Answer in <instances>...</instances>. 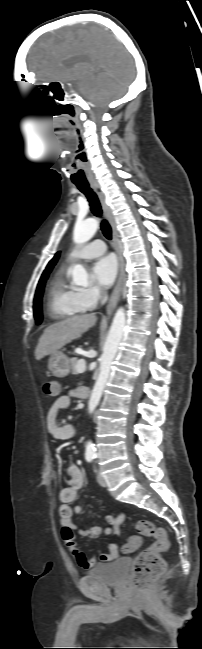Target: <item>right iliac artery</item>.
<instances>
[{
    "mask_svg": "<svg viewBox=\"0 0 202 649\" xmlns=\"http://www.w3.org/2000/svg\"><path fill=\"white\" fill-rule=\"evenodd\" d=\"M92 459H93V456H91V455H87V456H86V460H87L88 462H91Z\"/></svg>",
    "mask_w": 202,
    "mask_h": 649,
    "instance_id": "82829eb1",
    "label": "right iliac artery"
}]
</instances>
